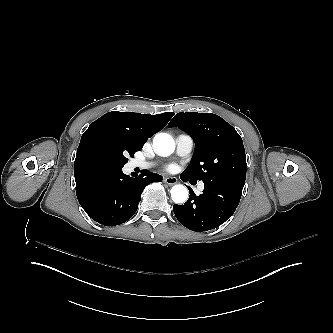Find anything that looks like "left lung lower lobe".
I'll use <instances>...</instances> for the list:
<instances>
[{"label": "left lung lower lobe", "instance_id": "0a47b994", "mask_svg": "<svg viewBox=\"0 0 333 333\" xmlns=\"http://www.w3.org/2000/svg\"><path fill=\"white\" fill-rule=\"evenodd\" d=\"M183 181H195L180 175ZM203 193L197 196L189 188L190 196L184 205L173 206L178 221L192 231H207L223 224L235 212L244 182L235 179H218L204 183Z\"/></svg>", "mask_w": 333, "mask_h": 333}]
</instances>
